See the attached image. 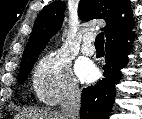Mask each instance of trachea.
Here are the masks:
<instances>
[{"label": "trachea", "instance_id": "3493384b", "mask_svg": "<svg viewBox=\"0 0 142 119\" xmlns=\"http://www.w3.org/2000/svg\"><path fill=\"white\" fill-rule=\"evenodd\" d=\"M95 47L104 48V34L102 32L99 33L96 37Z\"/></svg>", "mask_w": 142, "mask_h": 119}]
</instances>
